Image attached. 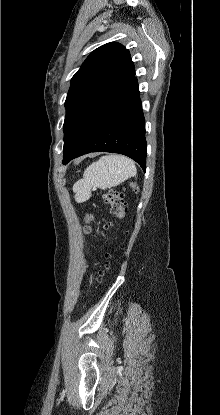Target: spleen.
<instances>
[{
    "label": "spleen",
    "instance_id": "obj_1",
    "mask_svg": "<svg viewBox=\"0 0 220 415\" xmlns=\"http://www.w3.org/2000/svg\"><path fill=\"white\" fill-rule=\"evenodd\" d=\"M136 166L128 157L122 155H107L91 164L78 180L73 191L75 200L79 203L85 202L91 196V189L97 187L107 189L115 187L130 177L136 175Z\"/></svg>",
    "mask_w": 220,
    "mask_h": 415
}]
</instances>
